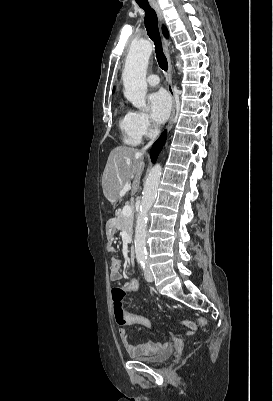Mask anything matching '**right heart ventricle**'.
<instances>
[{"mask_svg": "<svg viewBox=\"0 0 273 401\" xmlns=\"http://www.w3.org/2000/svg\"><path fill=\"white\" fill-rule=\"evenodd\" d=\"M121 112V117L119 119L118 125L123 133V140L128 145H137L140 143V139L132 130L131 119L129 112L124 110V106L119 107Z\"/></svg>", "mask_w": 273, "mask_h": 401, "instance_id": "obj_1", "label": "right heart ventricle"}]
</instances>
